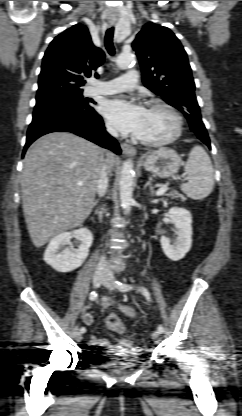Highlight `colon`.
Returning a JSON list of instances; mask_svg holds the SVG:
<instances>
[{"label":"colon","mask_w":242,"mask_h":416,"mask_svg":"<svg viewBox=\"0 0 242 416\" xmlns=\"http://www.w3.org/2000/svg\"><path fill=\"white\" fill-rule=\"evenodd\" d=\"M106 327L113 333L123 334L125 332L124 323L117 315L108 316L106 319Z\"/></svg>","instance_id":"colon-1"}]
</instances>
